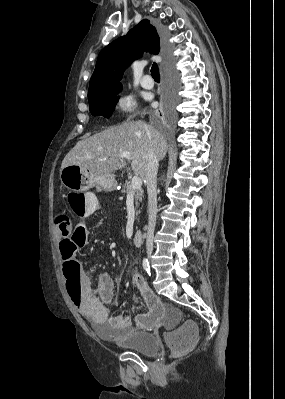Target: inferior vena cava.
Segmentation results:
<instances>
[{
    "label": "inferior vena cava",
    "instance_id": "1",
    "mask_svg": "<svg viewBox=\"0 0 285 399\" xmlns=\"http://www.w3.org/2000/svg\"><path fill=\"white\" fill-rule=\"evenodd\" d=\"M157 171L158 157L153 148L149 149L146 169V185L148 193V230L146 248L148 252L153 250L154 229L157 215Z\"/></svg>",
    "mask_w": 285,
    "mask_h": 399
}]
</instances>
